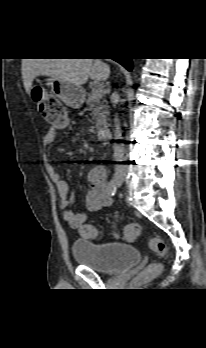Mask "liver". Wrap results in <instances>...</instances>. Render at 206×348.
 <instances>
[{"label": "liver", "mask_w": 206, "mask_h": 348, "mask_svg": "<svg viewBox=\"0 0 206 348\" xmlns=\"http://www.w3.org/2000/svg\"><path fill=\"white\" fill-rule=\"evenodd\" d=\"M110 74L109 66L101 59H23L22 78L30 95L33 80L40 75L53 77L75 85L85 84L88 78L95 82L105 81Z\"/></svg>", "instance_id": "liver-1"}]
</instances>
